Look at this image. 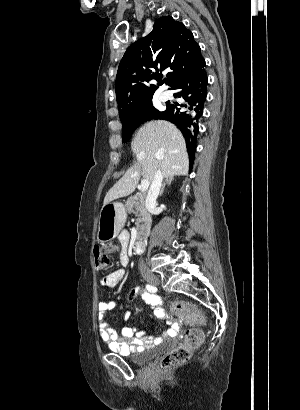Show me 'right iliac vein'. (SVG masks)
<instances>
[{
    "mask_svg": "<svg viewBox=\"0 0 300 410\" xmlns=\"http://www.w3.org/2000/svg\"><path fill=\"white\" fill-rule=\"evenodd\" d=\"M143 277L147 282H149L152 285H159L160 284L159 278L156 275H154L150 272L144 273Z\"/></svg>",
    "mask_w": 300,
    "mask_h": 410,
    "instance_id": "1",
    "label": "right iliac vein"
}]
</instances>
